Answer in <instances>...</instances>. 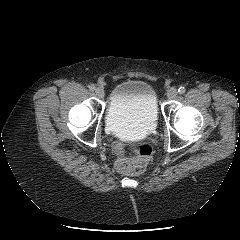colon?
Wrapping results in <instances>:
<instances>
[{
	"mask_svg": "<svg viewBox=\"0 0 240 240\" xmlns=\"http://www.w3.org/2000/svg\"><path fill=\"white\" fill-rule=\"evenodd\" d=\"M132 156L121 158L116 162V169L128 175H137L142 173L151 160L153 149L149 144H139L129 147Z\"/></svg>",
	"mask_w": 240,
	"mask_h": 240,
	"instance_id": "obj_1",
	"label": "colon"
}]
</instances>
